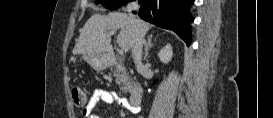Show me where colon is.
I'll return each mask as SVG.
<instances>
[{"instance_id":"1","label":"colon","mask_w":273,"mask_h":118,"mask_svg":"<svg viewBox=\"0 0 273 118\" xmlns=\"http://www.w3.org/2000/svg\"><path fill=\"white\" fill-rule=\"evenodd\" d=\"M71 96L76 106L83 107L87 103L86 94L80 87H73Z\"/></svg>"}]
</instances>
